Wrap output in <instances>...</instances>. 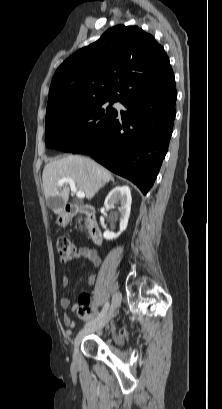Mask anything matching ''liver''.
<instances>
[{
  "instance_id": "liver-1",
  "label": "liver",
  "mask_w": 222,
  "mask_h": 409,
  "mask_svg": "<svg viewBox=\"0 0 222 409\" xmlns=\"http://www.w3.org/2000/svg\"><path fill=\"white\" fill-rule=\"evenodd\" d=\"M62 178L74 180L76 188L83 191L88 200L112 179L111 173L95 161L81 156L69 155L61 159L51 161L43 169L42 181L46 200L57 197L67 204L69 198L68 183L61 187L58 182ZM55 214L63 211L62 206H52Z\"/></svg>"
}]
</instances>
